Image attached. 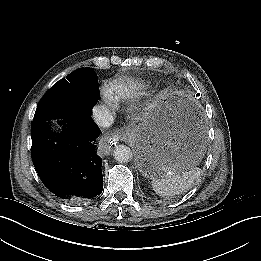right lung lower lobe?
Segmentation results:
<instances>
[{"instance_id":"obj_1","label":"right lung lower lobe","mask_w":261,"mask_h":261,"mask_svg":"<svg viewBox=\"0 0 261 261\" xmlns=\"http://www.w3.org/2000/svg\"><path fill=\"white\" fill-rule=\"evenodd\" d=\"M92 110L78 109L51 130L50 121L32 124V160L43 184L60 199L77 204L101 194L102 160L97 155L101 133Z\"/></svg>"}]
</instances>
